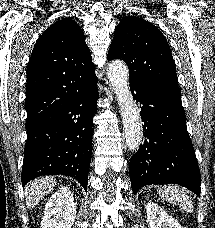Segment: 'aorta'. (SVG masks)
I'll use <instances>...</instances> for the list:
<instances>
[{"mask_svg":"<svg viewBox=\"0 0 215 228\" xmlns=\"http://www.w3.org/2000/svg\"><path fill=\"white\" fill-rule=\"evenodd\" d=\"M107 76L118 100L126 146L129 150H138L142 142L143 128L131 94L129 72L125 62H111L107 68Z\"/></svg>","mask_w":215,"mask_h":228,"instance_id":"762f6f07","label":"aorta"}]
</instances>
